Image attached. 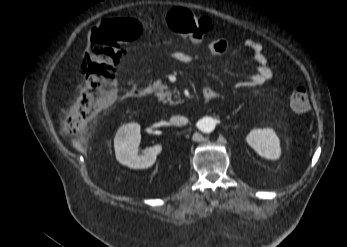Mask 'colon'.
I'll return each mask as SVG.
<instances>
[{"label":"colon","instance_id":"obj_1","mask_svg":"<svg viewBox=\"0 0 347 247\" xmlns=\"http://www.w3.org/2000/svg\"><path fill=\"white\" fill-rule=\"evenodd\" d=\"M167 24L190 42L200 41L214 28L208 17L182 8L169 12ZM144 27L135 18L118 16L105 19L94 28L82 65L84 86L81 96L66 119L67 130L71 134L81 132L96 114L113 103L124 44L140 36ZM289 103L295 111L305 112L309 106L306 88L296 86L290 93Z\"/></svg>","mask_w":347,"mask_h":247}]
</instances>
